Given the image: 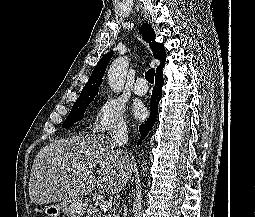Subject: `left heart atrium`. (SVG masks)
I'll list each match as a JSON object with an SVG mask.
<instances>
[{
  "label": "left heart atrium",
  "mask_w": 255,
  "mask_h": 217,
  "mask_svg": "<svg viewBox=\"0 0 255 217\" xmlns=\"http://www.w3.org/2000/svg\"><path fill=\"white\" fill-rule=\"evenodd\" d=\"M133 113L137 119H143L146 116V109L142 104L138 103L134 105Z\"/></svg>",
  "instance_id": "39dd6f15"
}]
</instances>
